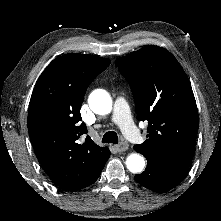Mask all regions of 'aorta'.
<instances>
[{"mask_svg":"<svg viewBox=\"0 0 221 221\" xmlns=\"http://www.w3.org/2000/svg\"><path fill=\"white\" fill-rule=\"evenodd\" d=\"M90 109L99 115L109 114L112 110V99L103 89L94 90L88 98ZM127 169L132 173H140L145 167L143 156L137 153L130 154L126 159Z\"/></svg>","mask_w":221,"mask_h":221,"instance_id":"762f6f07","label":"aorta"}]
</instances>
